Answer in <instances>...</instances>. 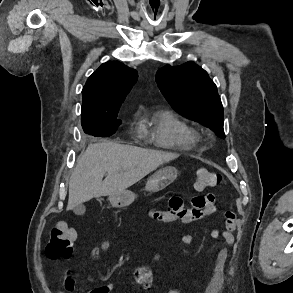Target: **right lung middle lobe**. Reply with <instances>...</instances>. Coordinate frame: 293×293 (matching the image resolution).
I'll use <instances>...</instances> for the list:
<instances>
[{
  "instance_id": "1",
  "label": "right lung middle lobe",
  "mask_w": 293,
  "mask_h": 293,
  "mask_svg": "<svg viewBox=\"0 0 293 293\" xmlns=\"http://www.w3.org/2000/svg\"><path fill=\"white\" fill-rule=\"evenodd\" d=\"M118 112L106 115H87L81 117L83 130L93 136H109L113 134L122 123L117 120Z\"/></svg>"
}]
</instances>
